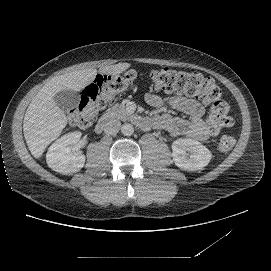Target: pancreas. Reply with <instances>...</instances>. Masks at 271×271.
Returning <instances> with one entry per match:
<instances>
[{
    "mask_svg": "<svg viewBox=\"0 0 271 271\" xmlns=\"http://www.w3.org/2000/svg\"><path fill=\"white\" fill-rule=\"evenodd\" d=\"M106 115H110L120 120H127L131 118V115L125 110V107L122 105H116L112 108H109L106 111Z\"/></svg>",
    "mask_w": 271,
    "mask_h": 271,
    "instance_id": "1",
    "label": "pancreas"
}]
</instances>
